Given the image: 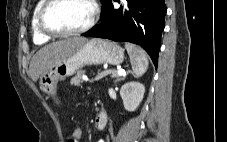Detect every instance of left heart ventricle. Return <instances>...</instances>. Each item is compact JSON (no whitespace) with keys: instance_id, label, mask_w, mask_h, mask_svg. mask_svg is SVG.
<instances>
[{"instance_id":"left-heart-ventricle-1","label":"left heart ventricle","mask_w":227,"mask_h":142,"mask_svg":"<svg viewBox=\"0 0 227 142\" xmlns=\"http://www.w3.org/2000/svg\"><path fill=\"white\" fill-rule=\"evenodd\" d=\"M92 9L87 0H60L47 13L48 25L58 31L83 27L91 18Z\"/></svg>"}]
</instances>
